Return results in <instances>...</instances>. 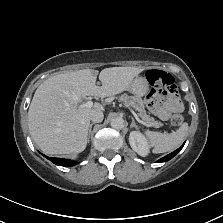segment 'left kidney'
Returning <instances> with one entry per match:
<instances>
[{"mask_svg": "<svg viewBox=\"0 0 223 223\" xmlns=\"http://www.w3.org/2000/svg\"><path fill=\"white\" fill-rule=\"evenodd\" d=\"M131 148L140 156L147 157L151 153V145L147 137L137 130H132L129 134Z\"/></svg>", "mask_w": 223, "mask_h": 223, "instance_id": "obj_1", "label": "left kidney"}]
</instances>
